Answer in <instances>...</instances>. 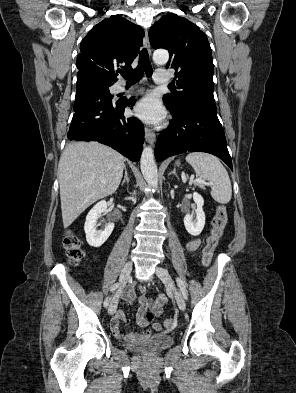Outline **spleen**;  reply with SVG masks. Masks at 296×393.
<instances>
[{
	"mask_svg": "<svg viewBox=\"0 0 296 393\" xmlns=\"http://www.w3.org/2000/svg\"><path fill=\"white\" fill-rule=\"evenodd\" d=\"M186 161L193 167L198 177L209 181L211 196L215 201L227 204L231 200L232 186L229 175L215 156L193 152L186 156Z\"/></svg>",
	"mask_w": 296,
	"mask_h": 393,
	"instance_id": "obj_1",
	"label": "spleen"
}]
</instances>
